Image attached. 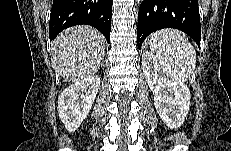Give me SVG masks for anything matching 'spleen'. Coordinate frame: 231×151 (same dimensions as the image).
<instances>
[{
  "label": "spleen",
  "mask_w": 231,
  "mask_h": 151,
  "mask_svg": "<svg viewBox=\"0 0 231 151\" xmlns=\"http://www.w3.org/2000/svg\"><path fill=\"white\" fill-rule=\"evenodd\" d=\"M151 51L167 63L182 81L191 78L196 67V52L186 35L176 29H162L151 34Z\"/></svg>",
  "instance_id": "3e777b00"
}]
</instances>
